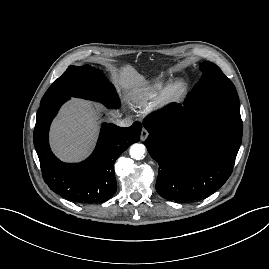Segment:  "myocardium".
I'll return each mask as SVG.
<instances>
[{
  "label": "myocardium",
  "mask_w": 269,
  "mask_h": 269,
  "mask_svg": "<svg viewBox=\"0 0 269 269\" xmlns=\"http://www.w3.org/2000/svg\"><path fill=\"white\" fill-rule=\"evenodd\" d=\"M188 84L184 79L172 81L162 92L157 107L163 108L179 102L186 94Z\"/></svg>",
  "instance_id": "myocardium-1"
}]
</instances>
